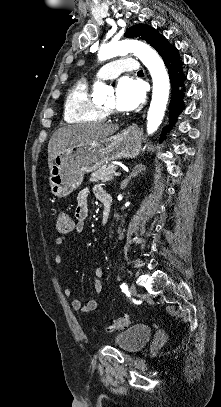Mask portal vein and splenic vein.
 <instances>
[{"label": "portal vein and splenic vein", "mask_w": 221, "mask_h": 407, "mask_svg": "<svg viewBox=\"0 0 221 407\" xmlns=\"http://www.w3.org/2000/svg\"><path fill=\"white\" fill-rule=\"evenodd\" d=\"M120 174H121L120 172H114L113 175H114V176H120Z\"/></svg>", "instance_id": "1"}]
</instances>
